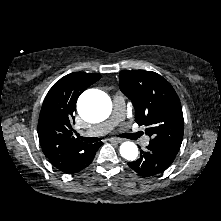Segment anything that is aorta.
Wrapping results in <instances>:
<instances>
[{
  "instance_id": "aorta-1",
  "label": "aorta",
  "mask_w": 221,
  "mask_h": 221,
  "mask_svg": "<svg viewBox=\"0 0 221 221\" xmlns=\"http://www.w3.org/2000/svg\"><path fill=\"white\" fill-rule=\"evenodd\" d=\"M79 115L88 122L104 120L110 113L111 104L109 98L99 92L83 93L77 103ZM120 154L123 158L133 161L138 156L137 145L126 141L120 146Z\"/></svg>"
}]
</instances>
